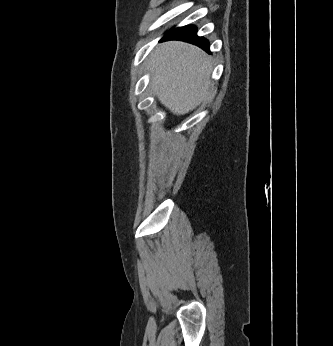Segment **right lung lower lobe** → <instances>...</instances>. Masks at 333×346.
Instances as JSON below:
<instances>
[{"label":"right lung lower lobe","instance_id":"1","mask_svg":"<svg viewBox=\"0 0 333 346\" xmlns=\"http://www.w3.org/2000/svg\"><path fill=\"white\" fill-rule=\"evenodd\" d=\"M166 40H181L189 42L210 53V45L208 40L197 36V28L194 25H187L171 29L162 39V41Z\"/></svg>","mask_w":333,"mask_h":346}]
</instances>
